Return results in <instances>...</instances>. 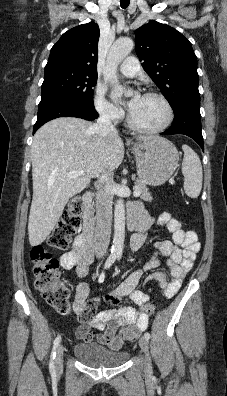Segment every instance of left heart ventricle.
Masks as SVG:
<instances>
[{
  "instance_id": "1",
  "label": "left heart ventricle",
  "mask_w": 227,
  "mask_h": 396,
  "mask_svg": "<svg viewBox=\"0 0 227 396\" xmlns=\"http://www.w3.org/2000/svg\"><path fill=\"white\" fill-rule=\"evenodd\" d=\"M130 113L136 124L146 128L157 127L166 118V110L162 102L148 96H142Z\"/></svg>"
}]
</instances>
